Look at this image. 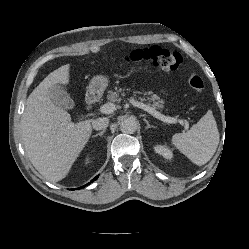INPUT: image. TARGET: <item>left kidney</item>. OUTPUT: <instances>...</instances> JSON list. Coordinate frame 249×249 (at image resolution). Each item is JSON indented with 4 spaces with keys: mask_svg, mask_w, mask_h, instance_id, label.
<instances>
[{
    "mask_svg": "<svg viewBox=\"0 0 249 249\" xmlns=\"http://www.w3.org/2000/svg\"><path fill=\"white\" fill-rule=\"evenodd\" d=\"M154 150L157 154L162 155L165 159H172V151L165 145H156Z\"/></svg>",
    "mask_w": 249,
    "mask_h": 249,
    "instance_id": "5707ae66",
    "label": "left kidney"
}]
</instances>
